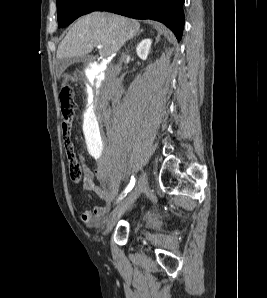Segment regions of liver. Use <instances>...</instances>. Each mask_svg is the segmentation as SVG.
<instances>
[{"instance_id": "obj_1", "label": "liver", "mask_w": 267, "mask_h": 298, "mask_svg": "<svg viewBox=\"0 0 267 298\" xmlns=\"http://www.w3.org/2000/svg\"><path fill=\"white\" fill-rule=\"evenodd\" d=\"M140 29V23L119 15L93 12L81 17L61 41L57 59L78 58L90 53L97 45L101 57H109L133 38Z\"/></svg>"}]
</instances>
